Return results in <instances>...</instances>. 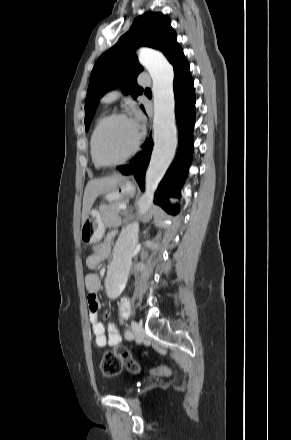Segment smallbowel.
<instances>
[{
    "mask_svg": "<svg viewBox=\"0 0 291 440\" xmlns=\"http://www.w3.org/2000/svg\"><path fill=\"white\" fill-rule=\"evenodd\" d=\"M115 232L108 234V236L92 245V252L87 258V265L94 269L105 258L110 255L112 240ZM85 287L89 293L88 295V309L92 330L95 336V343L99 347L114 346L120 342V336L113 326L108 327V333L100 322V301L97 293L101 289L100 277L95 273H88L84 279ZM117 311L122 318H126L130 314V301L123 297L120 299Z\"/></svg>",
    "mask_w": 291,
    "mask_h": 440,
    "instance_id": "c3829d8e",
    "label": "small bowel"
}]
</instances>
